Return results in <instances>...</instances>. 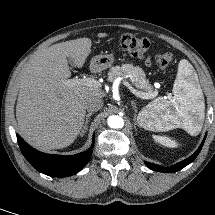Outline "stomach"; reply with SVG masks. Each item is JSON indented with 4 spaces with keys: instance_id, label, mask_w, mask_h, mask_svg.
Here are the masks:
<instances>
[{
    "instance_id": "1",
    "label": "stomach",
    "mask_w": 215,
    "mask_h": 215,
    "mask_svg": "<svg viewBox=\"0 0 215 215\" xmlns=\"http://www.w3.org/2000/svg\"><path fill=\"white\" fill-rule=\"evenodd\" d=\"M114 63V56L113 54H105V55H96L91 60V65L96 70H104L110 68ZM140 126L147 129V125L145 122H141L138 120Z\"/></svg>"
}]
</instances>
